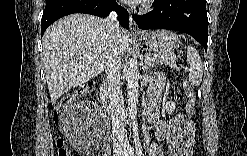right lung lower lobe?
Returning <instances> with one entry per match:
<instances>
[{"label": "right lung lower lobe", "instance_id": "right-lung-lower-lobe-1", "mask_svg": "<svg viewBox=\"0 0 247 156\" xmlns=\"http://www.w3.org/2000/svg\"><path fill=\"white\" fill-rule=\"evenodd\" d=\"M111 11H116L121 26L129 29L128 12L115 0H46L41 19V36L50 24L63 16L72 13H86L107 17Z\"/></svg>", "mask_w": 247, "mask_h": 156}]
</instances>
